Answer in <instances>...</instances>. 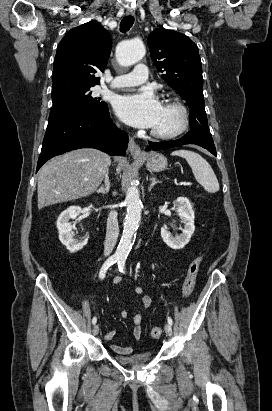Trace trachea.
Masks as SVG:
<instances>
[{
    "mask_svg": "<svg viewBox=\"0 0 272 411\" xmlns=\"http://www.w3.org/2000/svg\"><path fill=\"white\" fill-rule=\"evenodd\" d=\"M133 23H134L133 16L129 15V16L124 17L120 23V31L123 33H126L127 31L130 30Z\"/></svg>",
    "mask_w": 272,
    "mask_h": 411,
    "instance_id": "3493384b",
    "label": "trachea"
}]
</instances>
